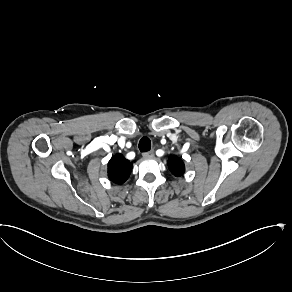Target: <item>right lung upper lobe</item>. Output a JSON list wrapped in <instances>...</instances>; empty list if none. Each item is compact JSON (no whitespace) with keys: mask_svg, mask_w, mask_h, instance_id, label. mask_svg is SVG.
Masks as SVG:
<instances>
[{"mask_svg":"<svg viewBox=\"0 0 292 292\" xmlns=\"http://www.w3.org/2000/svg\"><path fill=\"white\" fill-rule=\"evenodd\" d=\"M133 163L122 154L114 155L108 163V177L115 184H123L130 176Z\"/></svg>","mask_w":292,"mask_h":292,"instance_id":"1","label":"right lung upper lobe"}]
</instances>
